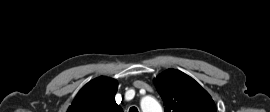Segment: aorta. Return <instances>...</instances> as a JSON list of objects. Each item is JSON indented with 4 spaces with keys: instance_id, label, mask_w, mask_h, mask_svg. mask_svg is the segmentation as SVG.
Wrapping results in <instances>:
<instances>
[{
    "instance_id": "762f6f07",
    "label": "aorta",
    "mask_w": 270,
    "mask_h": 112,
    "mask_svg": "<svg viewBox=\"0 0 270 112\" xmlns=\"http://www.w3.org/2000/svg\"><path fill=\"white\" fill-rule=\"evenodd\" d=\"M141 108L143 112H163L160 104L151 96L142 98Z\"/></svg>"
}]
</instances>
